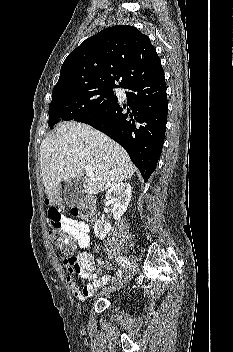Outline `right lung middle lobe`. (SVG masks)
I'll use <instances>...</instances> for the list:
<instances>
[{"label": "right lung middle lobe", "instance_id": "obj_1", "mask_svg": "<svg viewBox=\"0 0 233 352\" xmlns=\"http://www.w3.org/2000/svg\"><path fill=\"white\" fill-rule=\"evenodd\" d=\"M115 85L84 86L52 93L49 105V126L61 120H75L91 116L118 101Z\"/></svg>", "mask_w": 233, "mask_h": 352}]
</instances>
